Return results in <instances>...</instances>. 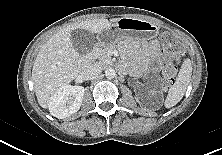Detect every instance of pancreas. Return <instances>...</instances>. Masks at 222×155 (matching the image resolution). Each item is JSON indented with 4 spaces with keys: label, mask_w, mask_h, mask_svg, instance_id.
I'll return each instance as SVG.
<instances>
[{
    "label": "pancreas",
    "mask_w": 222,
    "mask_h": 155,
    "mask_svg": "<svg viewBox=\"0 0 222 155\" xmlns=\"http://www.w3.org/2000/svg\"><path fill=\"white\" fill-rule=\"evenodd\" d=\"M113 48V46L105 48H95L92 52V57L98 59L102 64H111L112 59L109 55V51H111Z\"/></svg>",
    "instance_id": "obj_1"
}]
</instances>
